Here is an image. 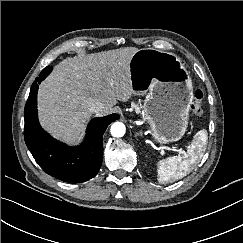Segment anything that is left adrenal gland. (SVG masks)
Listing matches in <instances>:
<instances>
[{
	"instance_id": "1",
	"label": "left adrenal gland",
	"mask_w": 243,
	"mask_h": 243,
	"mask_svg": "<svg viewBox=\"0 0 243 243\" xmlns=\"http://www.w3.org/2000/svg\"><path fill=\"white\" fill-rule=\"evenodd\" d=\"M139 135L142 136V132L136 133V134H135V137H137V136H139Z\"/></svg>"
}]
</instances>
